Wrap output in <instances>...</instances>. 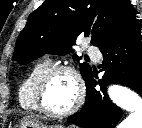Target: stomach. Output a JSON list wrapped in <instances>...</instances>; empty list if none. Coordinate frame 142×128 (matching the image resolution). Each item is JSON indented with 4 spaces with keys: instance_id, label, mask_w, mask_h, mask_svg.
Returning a JSON list of instances; mask_svg holds the SVG:
<instances>
[{
    "instance_id": "1",
    "label": "stomach",
    "mask_w": 142,
    "mask_h": 128,
    "mask_svg": "<svg viewBox=\"0 0 142 128\" xmlns=\"http://www.w3.org/2000/svg\"><path fill=\"white\" fill-rule=\"evenodd\" d=\"M18 127L19 128H29V127L30 128H64L62 125H44L36 118H25L20 122Z\"/></svg>"
}]
</instances>
